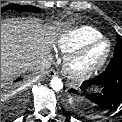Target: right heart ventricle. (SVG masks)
Returning <instances> with one entry per match:
<instances>
[{
	"label": "right heart ventricle",
	"mask_w": 122,
	"mask_h": 122,
	"mask_svg": "<svg viewBox=\"0 0 122 122\" xmlns=\"http://www.w3.org/2000/svg\"><path fill=\"white\" fill-rule=\"evenodd\" d=\"M102 37L100 31L91 26H80L65 31L57 40V46L62 53L69 54L85 44Z\"/></svg>",
	"instance_id": "right-heart-ventricle-1"
}]
</instances>
